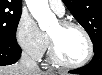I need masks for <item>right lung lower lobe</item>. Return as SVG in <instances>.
<instances>
[{"instance_id":"98d812e1","label":"right lung lower lobe","mask_w":102,"mask_h":75,"mask_svg":"<svg viewBox=\"0 0 102 75\" xmlns=\"http://www.w3.org/2000/svg\"><path fill=\"white\" fill-rule=\"evenodd\" d=\"M21 56V48L17 43L0 41V66L11 65Z\"/></svg>"}]
</instances>
